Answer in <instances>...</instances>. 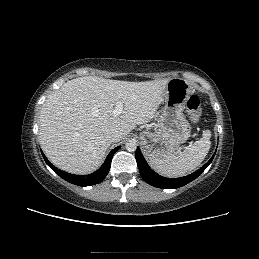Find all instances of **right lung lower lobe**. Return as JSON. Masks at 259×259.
Listing matches in <instances>:
<instances>
[{"instance_id": "98d812e1", "label": "right lung lower lobe", "mask_w": 259, "mask_h": 259, "mask_svg": "<svg viewBox=\"0 0 259 259\" xmlns=\"http://www.w3.org/2000/svg\"><path fill=\"white\" fill-rule=\"evenodd\" d=\"M120 148V146L114 148L109 155L107 156L106 160L104 161L103 165L94 173L89 174V175H73L67 172H64L58 168H56L55 166H53L48 159L46 158V156L43 154V158L45 160V162L47 163V165L55 172L57 173L61 178H63L64 180L78 185V186H90V185H94L97 183H100L108 174L109 169L111 167V160L113 155L115 154V152H117V150Z\"/></svg>"}]
</instances>
